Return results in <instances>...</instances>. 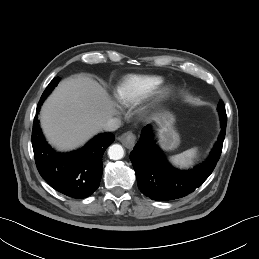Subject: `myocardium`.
Returning <instances> with one entry per match:
<instances>
[{
    "mask_svg": "<svg viewBox=\"0 0 259 259\" xmlns=\"http://www.w3.org/2000/svg\"><path fill=\"white\" fill-rule=\"evenodd\" d=\"M171 89L168 86H160L156 88L147 98L142 112L147 114L149 111L154 110L163 105L169 98Z\"/></svg>",
    "mask_w": 259,
    "mask_h": 259,
    "instance_id": "myocardium-1",
    "label": "myocardium"
}]
</instances>
